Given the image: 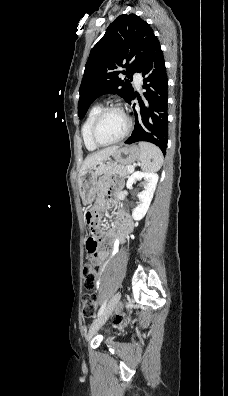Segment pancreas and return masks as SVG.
<instances>
[{
	"instance_id": "pancreas-1",
	"label": "pancreas",
	"mask_w": 228,
	"mask_h": 396,
	"mask_svg": "<svg viewBox=\"0 0 228 396\" xmlns=\"http://www.w3.org/2000/svg\"><path fill=\"white\" fill-rule=\"evenodd\" d=\"M130 171L127 169V166L116 164V163H108L104 165L99 170V175L111 176V175H119L121 177H128Z\"/></svg>"
}]
</instances>
